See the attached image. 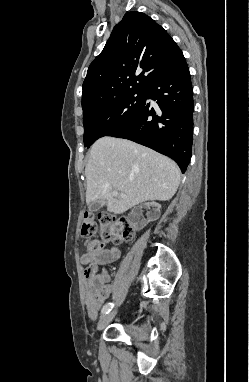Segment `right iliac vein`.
Listing matches in <instances>:
<instances>
[{"mask_svg":"<svg viewBox=\"0 0 249 382\" xmlns=\"http://www.w3.org/2000/svg\"><path fill=\"white\" fill-rule=\"evenodd\" d=\"M115 315H116V310H113L109 312L108 314L103 315L98 322L97 329L98 330L104 329L106 325H108V323L112 321Z\"/></svg>","mask_w":249,"mask_h":382,"instance_id":"63e3f726","label":"right iliac vein"}]
</instances>
